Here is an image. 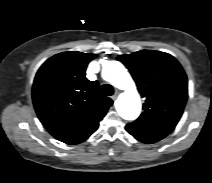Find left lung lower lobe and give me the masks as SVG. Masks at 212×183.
Wrapping results in <instances>:
<instances>
[{
	"mask_svg": "<svg viewBox=\"0 0 212 183\" xmlns=\"http://www.w3.org/2000/svg\"><path fill=\"white\" fill-rule=\"evenodd\" d=\"M125 129L137 140L143 143H148V144L157 142L168 135L167 133H164V132L150 130V129L133 125V124H128L125 127Z\"/></svg>",
	"mask_w": 212,
	"mask_h": 183,
	"instance_id": "left-lung-lower-lobe-1",
	"label": "left lung lower lobe"
}]
</instances>
